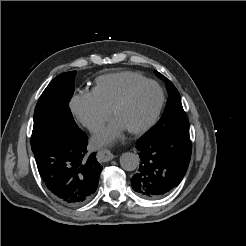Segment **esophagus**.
Instances as JSON below:
<instances>
[{
    "label": "esophagus",
    "instance_id": "obj_1",
    "mask_svg": "<svg viewBox=\"0 0 246 246\" xmlns=\"http://www.w3.org/2000/svg\"><path fill=\"white\" fill-rule=\"evenodd\" d=\"M113 158V153L108 149H102L98 152V159L102 162L110 161Z\"/></svg>",
    "mask_w": 246,
    "mask_h": 246
}]
</instances>
